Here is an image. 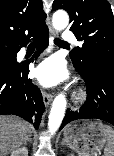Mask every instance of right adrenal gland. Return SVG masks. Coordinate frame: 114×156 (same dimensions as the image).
Instances as JSON below:
<instances>
[{"instance_id": "1", "label": "right adrenal gland", "mask_w": 114, "mask_h": 156, "mask_svg": "<svg viewBox=\"0 0 114 156\" xmlns=\"http://www.w3.org/2000/svg\"><path fill=\"white\" fill-rule=\"evenodd\" d=\"M28 143H32V138L30 136V138L27 140ZM27 143H25L24 145H26Z\"/></svg>"}]
</instances>
